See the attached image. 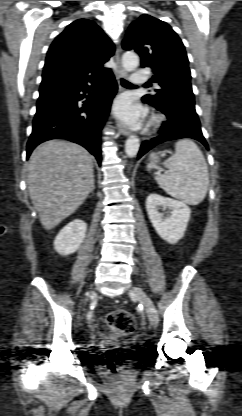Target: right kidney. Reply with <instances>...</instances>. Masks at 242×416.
<instances>
[{"instance_id":"obj_1","label":"right kidney","mask_w":242,"mask_h":416,"mask_svg":"<svg viewBox=\"0 0 242 416\" xmlns=\"http://www.w3.org/2000/svg\"><path fill=\"white\" fill-rule=\"evenodd\" d=\"M86 230L87 224L84 221H71L56 236L54 249L64 256L76 252L86 236Z\"/></svg>"}]
</instances>
